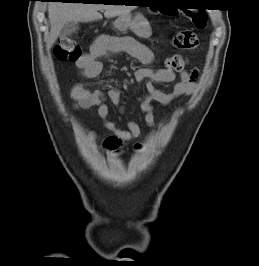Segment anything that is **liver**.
<instances>
[{"label": "liver", "mask_w": 259, "mask_h": 266, "mask_svg": "<svg viewBox=\"0 0 259 266\" xmlns=\"http://www.w3.org/2000/svg\"><path fill=\"white\" fill-rule=\"evenodd\" d=\"M133 9L132 6L103 5L83 3L52 2L48 5V18L50 22V34L47 46H52L57 40L61 29L68 22H92L102 18L99 11L105 10L106 18L127 15Z\"/></svg>", "instance_id": "liver-1"}]
</instances>
